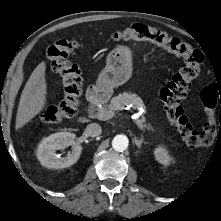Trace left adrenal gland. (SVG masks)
<instances>
[{"label": "left adrenal gland", "instance_id": "obj_1", "mask_svg": "<svg viewBox=\"0 0 221 221\" xmlns=\"http://www.w3.org/2000/svg\"><path fill=\"white\" fill-rule=\"evenodd\" d=\"M134 142H135V144H136V146H137L138 148H141L142 143H145V142L143 141V137H142L141 139H139V140L135 137V138H134Z\"/></svg>", "mask_w": 221, "mask_h": 221}]
</instances>
